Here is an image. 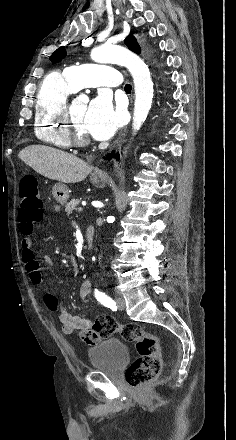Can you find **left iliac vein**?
I'll use <instances>...</instances> for the list:
<instances>
[{
    "instance_id": "left-iliac-vein-1",
    "label": "left iliac vein",
    "mask_w": 236,
    "mask_h": 440,
    "mask_svg": "<svg viewBox=\"0 0 236 440\" xmlns=\"http://www.w3.org/2000/svg\"><path fill=\"white\" fill-rule=\"evenodd\" d=\"M116 301V305L120 310H124L125 309V301L122 297L118 296L115 299Z\"/></svg>"
}]
</instances>
